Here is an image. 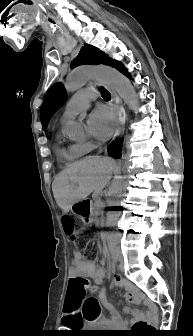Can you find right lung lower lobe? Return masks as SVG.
Listing matches in <instances>:
<instances>
[{
    "label": "right lung lower lobe",
    "instance_id": "obj_1",
    "mask_svg": "<svg viewBox=\"0 0 193 336\" xmlns=\"http://www.w3.org/2000/svg\"><path fill=\"white\" fill-rule=\"evenodd\" d=\"M121 145L120 142H113L109 145L108 147V154L109 156L113 157V158H119L121 157V153H120V148L119 146Z\"/></svg>",
    "mask_w": 193,
    "mask_h": 336
}]
</instances>
